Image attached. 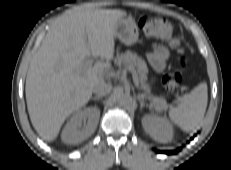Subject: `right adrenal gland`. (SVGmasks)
I'll use <instances>...</instances> for the list:
<instances>
[{"instance_id": "2a0ac1e0", "label": "right adrenal gland", "mask_w": 231, "mask_h": 170, "mask_svg": "<svg viewBox=\"0 0 231 170\" xmlns=\"http://www.w3.org/2000/svg\"><path fill=\"white\" fill-rule=\"evenodd\" d=\"M92 99H93V100H100V99H102V97H100V96H95V97H93Z\"/></svg>"}]
</instances>
